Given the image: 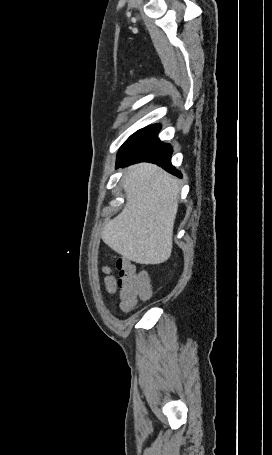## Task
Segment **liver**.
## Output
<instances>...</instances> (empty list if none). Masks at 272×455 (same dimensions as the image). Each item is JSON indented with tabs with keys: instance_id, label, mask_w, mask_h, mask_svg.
<instances>
[{
	"instance_id": "1",
	"label": "liver",
	"mask_w": 272,
	"mask_h": 455,
	"mask_svg": "<svg viewBox=\"0 0 272 455\" xmlns=\"http://www.w3.org/2000/svg\"><path fill=\"white\" fill-rule=\"evenodd\" d=\"M123 187L126 205L105 225L103 242L139 264L167 261L179 202L177 179L156 165L141 163L128 168Z\"/></svg>"
}]
</instances>
